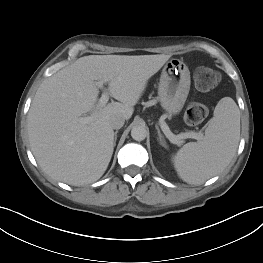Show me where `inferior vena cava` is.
Wrapping results in <instances>:
<instances>
[{
	"label": "inferior vena cava",
	"mask_w": 263,
	"mask_h": 263,
	"mask_svg": "<svg viewBox=\"0 0 263 263\" xmlns=\"http://www.w3.org/2000/svg\"><path fill=\"white\" fill-rule=\"evenodd\" d=\"M125 119L123 116H115L111 119V127L113 129H120L124 125Z\"/></svg>",
	"instance_id": "inferior-vena-cava-1"
}]
</instances>
